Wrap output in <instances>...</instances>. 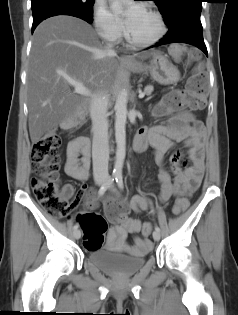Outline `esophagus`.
<instances>
[{"mask_svg":"<svg viewBox=\"0 0 238 315\" xmlns=\"http://www.w3.org/2000/svg\"><path fill=\"white\" fill-rule=\"evenodd\" d=\"M121 59H122L123 61H127V62L131 61V58L128 57V56H125V55L122 56Z\"/></svg>","mask_w":238,"mask_h":315,"instance_id":"34e87169","label":"esophagus"}]
</instances>
